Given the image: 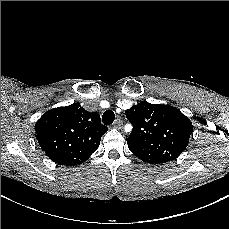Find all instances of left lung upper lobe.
Returning a JSON list of instances; mask_svg holds the SVG:
<instances>
[{
  "mask_svg": "<svg viewBox=\"0 0 229 229\" xmlns=\"http://www.w3.org/2000/svg\"><path fill=\"white\" fill-rule=\"evenodd\" d=\"M133 125L126 139L130 151L147 163L175 160L187 147L193 131L191 121L180 110L146 101L125 111Z\"/></svg>",
  "mask_w": 229,
  "mask_h": 229,
  "instance_id": "obj_1",
  "label": "left lung upper lobe"
}]
</instances>
